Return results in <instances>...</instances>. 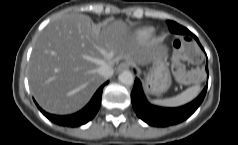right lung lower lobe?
<instances>
[{"instance_id": "right-lung-lower-lobe-1", "label": "right lung lower lobe", "mask_w": 238, "mask_h": 145, "mask_svg": "<svg viewBox=\"0 0 238 145\" xmlns=\"http://www.w3.org/2000/svg\"><path fill=\"white\" fill-rule=\"evenodd\" d=\"M108 82L104 83L94 94L91 101L87 104L85 108H83L81 111L67 116H58V115H52L44 110H42L37 104L39 110L53 123L58 124L60 126H67V127H78L81 126L87 122H89L98 112L100 104H101V98H102V90L103 87Z\"/></svg>"}]
</instances>
